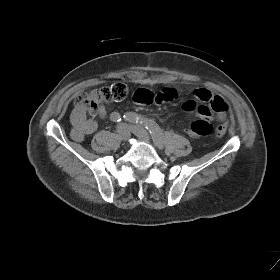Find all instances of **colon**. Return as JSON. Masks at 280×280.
Instances as JSON below:
<instances>
[{
    "label": "colon",
    "instance_id": "colon-1",
    "mask_svg": "<svg viewBox=\"0 0 280 280\" xmlns=\"http://www.w3.org/2000/svg\"><path fill=\"white\" fill-rule=\"evenodd\" d=\"M128 94V88L123 83H114L110 86L94 89L90 92L82 93L75 98L76 107L95 114L103 103L118 102L123 100ZM189 129L196 136L220 135L225 130L220 126H213L208 120L199 119L191 123Z\"/></svg>",
    "mask_w": 280,
    "mask_h": 280
}]
</instances>
